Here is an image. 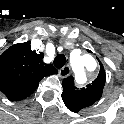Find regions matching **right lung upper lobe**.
Wrapping results in <instances>:
<instances>
[{
    "mask_svg": "<svg viewBox=\"0 0 124 124\" xmlns=\"http://www.w3.org/2000/svg\"><path fill=\"white\" fill-rule=\"evenodd\" d=\"M42 59L43 53L32 51L29 42L8 48L0 56V91L11 101L30 96L40 80L58 73L52 64Z\"/></svg>",
    "mask_w": 124,
    "mask_h": 124,
    "instance_id": "right-lung-upper-lobe-1",
    "label": "right lung upper lobe"
}]
</instances>
